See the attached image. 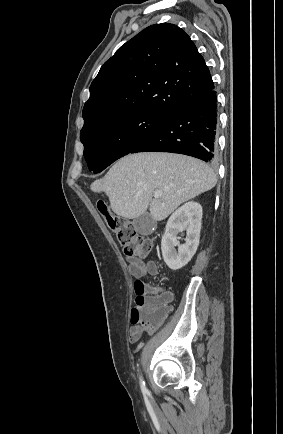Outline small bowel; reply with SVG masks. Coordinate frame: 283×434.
I'll use <instances>...</instances> for the list:
<instances>
[{
  "label": "small bowel",
  "instance_id": "1",
  "mask_svg": "<svg viewBox=\"0 0 283 434\" xmlns=\"http://www.w3.org/2000/svg\"><path fill=\"white\" fill-rule=\"evenodd\" d=\"M129 271L135 278H143L157 274L158 267L153 260L143 261L138 257H129ZM169 311V308H168ZM144 329L140 326H132L129 330V340L131 343L137 342L143 333Z\"/></svg>",
  "mask_w": 283,
  "mask_h": 434
}]
</instances>
